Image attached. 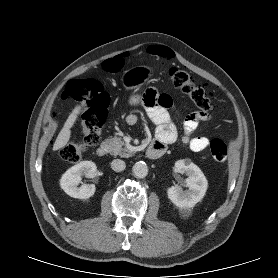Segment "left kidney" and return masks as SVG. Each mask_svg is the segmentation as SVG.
I'll return each mask as SVG.
<instances>
[{"label": "left kidney", "mask_w": 278, "mask_h": 278, "mask_svg": "<svg viewBox=\"0 0 278 278\" xmlns=\"http://www.w3.org/2000/svg\"><path fill=\"white\" fill-rule=\"evenodd\" d=\"M175 169L178 173H185L187 191L176 185L167 189V195L170 201L178 208H192L200 202L207 190L208 182L200 168L194 163H188L185 160H179L175 163Z\"/></svg>", "instance_id": "left-kidney-1"}]
</instances>
